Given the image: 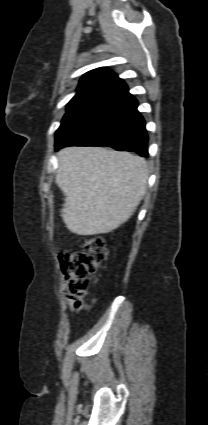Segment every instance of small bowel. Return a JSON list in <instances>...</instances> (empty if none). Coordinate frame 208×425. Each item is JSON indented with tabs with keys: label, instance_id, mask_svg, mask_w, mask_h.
<instances>
[{
	"label": "small bowel",
	"instance_id": "small-bowel-1",
	"mask_svg": "<svg viewBox=\"0 0 208 425\" xmlns=\"http://www.w3.org/2000/svg\"><path fill=\"white\" fill-rule=\"evenodd\" d=\"M67 303L74 307L75 310L79 311L82 309L83 304L76 302L75 300L68 298Z\"/></svg>",
	"mask_w": 208,
	"mask_h": 425
}]
</instances>
